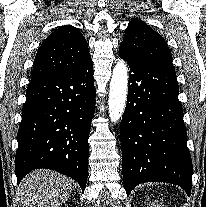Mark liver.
Instances as JSON below:
<instances>
[{
	"instance_id": "obj_1",
	"label": "liver",
	"mask_w": 206,
	"mask_h": 207,
	"mask_svg": "<svg viewBox=\"0 0 206 207\" xmlns=\"http://www.w3.org/2000/svg\"><path fill=\"white\" fill-rule=\"evenodd\" d=\"M71 180L50 170H37L20 183L25 207H60L72 192Z\"/></svg>"
}]
</instances>
